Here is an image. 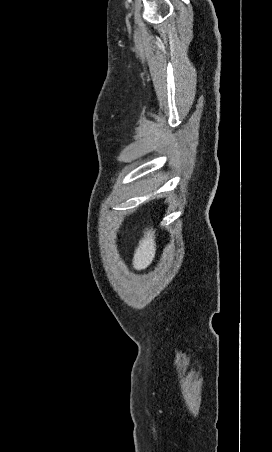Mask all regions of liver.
Masks as SVG:
<instances>
[{
	"instance_id": "6515ba94",
	"label": "liver",
	"mask_w": 272,
	"mask_h": 452,
	"mask_svg": "<svg viewBox=\"0 0 272 452\" xmlns=\"http://www.w3.org/2000/svg\"><path fill=\"white\" fill-rule=\"evenodd\" d=\"M156 243L155 230L147 229L144 237L140 240L139 246L136 248L133 258V266L137 270L147 268L155 257Z\"/></svg>"
}]
</instances>
